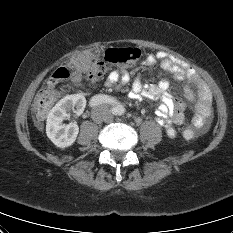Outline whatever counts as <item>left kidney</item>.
<instances>
[{
  "label": "left kidney",
  "instance_id": "left-kidney-1",
  "mask_svg": "<svg viewBox=\"0 0 233 233\" xmlns=\"http://www.w3.org/2000/svg\"><path fill=\"white\" fill-rule=\"evenodd\" d=\"M166 133H167L168 137H170V138H175L176 137V131L173 128H168L166 130Z\"/></svg>",
  "mask_w": 233,
  "mask_h": 233
}]
</instances>
